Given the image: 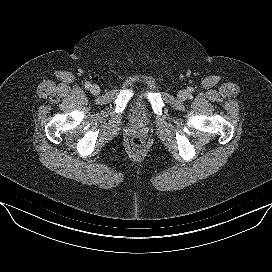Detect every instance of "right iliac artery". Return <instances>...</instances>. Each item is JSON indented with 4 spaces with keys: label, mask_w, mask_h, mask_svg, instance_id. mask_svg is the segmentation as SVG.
Masks as SVG:
<instances>
[{
    "label": "right iliac artery",
    "mask_w": 272,
    "mask_h": 272,
    "mask_svg": "<svg viewBox=\"0 0 272 272\" xmlns=\"http://www.w3.org/2000/svg\"><path fill=\"white\" fill-rule=\"evenodd\" d=\"M91 87V83L90 82H86L85 83V88H90Z\"/></svg>",
    "instance_id": "right-iliac-artery-1"
}]
</instances>
